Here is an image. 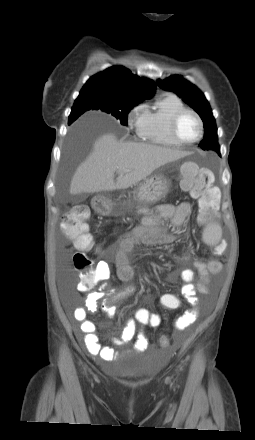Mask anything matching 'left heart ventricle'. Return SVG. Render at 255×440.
<instances>
[{
  "instance_id": "1",
  "label": "left heart ventricle",
  "mask_w": 255,
  "mask_h": 440,
  "mask_svg": "<svg viewBox=\"0 0 255 440\" xmlns=\"http://www.w3.org/2000/svg\"><path fill=\"white\" fill-rule=\"evenodd\" d=\"M178 133L185 141H192L199 134V125L196 118L191 114H185L178 125Z\"/></svg>"
}]
</instances>
